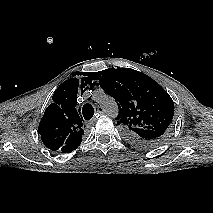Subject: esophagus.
Wrapping results in <instances>:
<instances>
[{
    "instance_id": "34e87169",
    "label": "esophagus",
    "mask_w": 213,
    "mask_h": 213,
    "mask_svg": "<svg viewBox=\"0 0 213 213\" xmlns=\"http://www.w3.org/2000/svg\"><path fill=\"white\" fill-rule=\"evenodd\" d=\"M104 114V109L101 106L96 107V116L89 122L90 124H93V122L97 119L98 115Z\"/></svg>"
}]
</instances>
